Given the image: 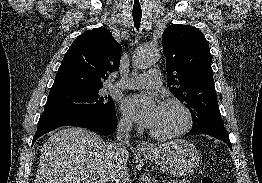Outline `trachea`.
Here are the masks:
<instances>
[{
	"label": "trachea",
	"instance_id": "1",
	"mask_svg": "<svg viewBox=\"0 0 262 183\" xmlns=\"http://www.w3.org/2000/svg\"><path fill=\"white\" fill-rule=\"evenodd\" d=\"M132 15H133V20H134V25L137 29H139L141 18H142V12L141 11H133Z\"/></svg>",
	"mask_w": 262,
	"mask_h": 183
}]
</instances>
